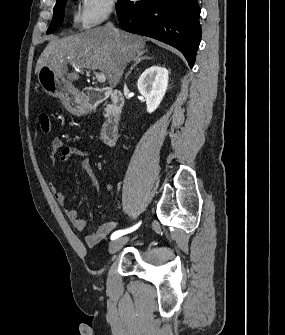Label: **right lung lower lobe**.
I'll return each mask as SVG.
<instances>
[{
  "label": "right lung lower lobe",
  "mask_w": 285,
  "mask_h": 335,
  "mask_svg": "<svg viewBox=\"0 0 285 335\" xmlns=\"http://www.w3.org/2000/svg\"><path fill=\"white\" fill-rule=\"evenodd\" d=\"M121 27L180 50L192 68L201 39L197 0H118Z\"/></svg>",
  "instance_id": "obj_1"
}]
</instances>
